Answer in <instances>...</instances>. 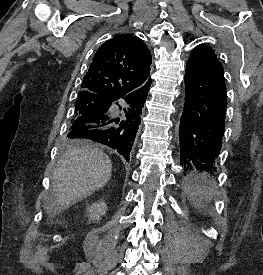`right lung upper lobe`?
<instances>
[{
	"label": "right lung upper lobe",
	"mask_w": 263,
	"mask_h": 275,
	"mask_svg": "<svg viewBox=\"0 0 263 275\" xmlns=\"http://www.w3.org/2000/svg\"><path fill=\"white\" fill-rule=\"evenodd\" d=\"M151 62V53L140 38L117 35L95 53L79 96L94 94L109 101L131 95L151 82Z\"/></svg>",
	"instance_id": "obj_1"
}]
</instances>
